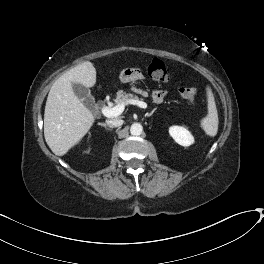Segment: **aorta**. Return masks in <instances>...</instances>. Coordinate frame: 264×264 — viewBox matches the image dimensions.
Returning a JSON list of instances; mask_svg holds the SVG:
<instances>
[{"instance_id":"obj_1","label":"aorta","mask_w":264,"mask_h":264,"mask_svg":"<svg viewBox=\"0 0 264 264\" xmlns=\"http://www.w3.org/2000/svg\"><path fill=\"white\" fill-rule=\"evenodd\" d=\"M143 131V127L140 123H134L130 127V133L134 136H139Z\"/></svg>"}]
</instances>
